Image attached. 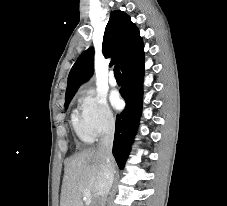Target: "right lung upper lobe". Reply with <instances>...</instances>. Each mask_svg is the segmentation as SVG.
<instances>
[{"mask_svg": "<svg viewBox=\"0 0 227 206\" xmlns=\"http://www.w3.org/2000/svg\"><path fill=\"white\" fill-rule=\"evenodd\" d=\"M102 52L112 57L110 65L119 63L122 72L144 58V45L139 30L123 11H112L106 25ZM94 49L84 51L73 65L66 89V98L73 97L80 85L93 74Z\"/></svg>", "mask_w": 227, "mask_h": 206, "instance_id": "right-lung-upper-lobe-1", "label": "right lung upper lobe"}]
</instances>
